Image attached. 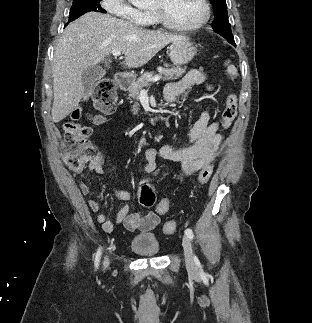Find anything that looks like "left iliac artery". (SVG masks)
<instances>
[{"label":"left iliac artery","mask_w":312,"mask_h":323,"mask_svg":"<svg viewBox=\"0 0 312 323\" xmlns=\"http://www.w3.org/2000/svg\"><path fill=\"white\" fill-rule=\"evenodd\" d=\"M185 234L190 238L192 239L193 238V231L192 229L188 228L185 230Z\"/></svg>","instance_id":"obj_1"}]
</instances>
